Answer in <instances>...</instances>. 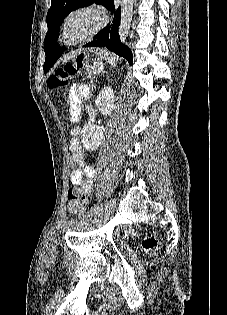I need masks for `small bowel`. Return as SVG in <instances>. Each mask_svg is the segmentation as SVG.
<instances>
[{
  "mask_svg": "<svg viewBox=\"0 0 227 315\" xmlns=\"http://www.w3.org/2000/svg\"><path fill=\"white\" fill-rule=\"evenodd\" d=\"M89 89L84 83L75 84L69 94L70 110L72 121L74 123L72 134L74 135L69 140V149L72 153L70 164L73 168L70 180L72 184L80 186L85 194H90L93 191V182L95 178V168L88 164L84 157V151L81 149V144L76 134L80 127L77 123L80 115V105L83 100L88 99Z\"/></svg>",
  "mask_w": 227,
  "mask_h": 315,
  "instance_id": "1",
  "label": "small bowel"
}]
</instances>
